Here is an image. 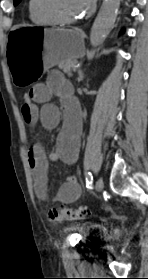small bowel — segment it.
<instances>
[{
    "mask_svg": "<svg viewBox=\"0 0 148 279\" xmlns=\"http://www.w3.org/2000/svg\"><path fill=\"white\" fill-rule=\"evenodd\" d=\"M32 101L23 104L21 111L24 120L30 125L40 124L45 129H55L63 118V126L56 140V148L49 155L51 161L73 164L78 157L82 128L81 109L72 94L71 84L64 76L54 71L46 83L31 88ZM52 96L60 99V107L50 103ZM41 105V107H38ZM28 163L33 177V186L37 197H47L48 159L41 145L35 144L28 151ZM81 196V187L75 176H69L58 189L54 201L69 204Z\"/></svg>",
    "mask_w": 148,
    "mask_h": 279,
    "instance_id": "small-bowel-1",
    "label": "small bowel"
}]
</instances>
